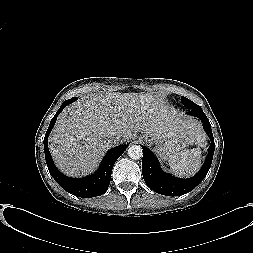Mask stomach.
I'll list each match as a JSON object with an SVG mask.
<instances>
[{
    "mask_svg": "<svg viewBox=\"0 0 253 253\" xmlns=\"http://www.w3.org/2000/svg\"><path fill=\"white\" fill-rule=\"evenodd\" d=\"M142 138L146 142L155 145V151L161 160H167L169 156L178 151L185 150L189 145L188 142L179 136L164 135L157 140H152L151 138L149 139L145 134L142 136Z\"/></svg>",
    "mask_w": 253,
    "mask_h": 253,
    "instance_id": "1",
    "label": "stomach"
}]
</instances>
